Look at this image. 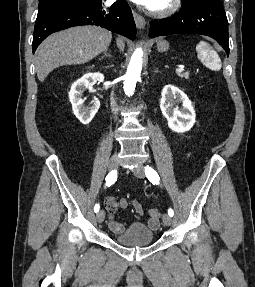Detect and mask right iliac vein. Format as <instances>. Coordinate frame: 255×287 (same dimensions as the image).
<instances>
[{"mask_svg":"<svg viewBox=\"0 0 255 287\" xmlns=\"http://www.w3.org/2000/svg\"><path fill=\"white\" fill-rule=\"evenodd\" d=\"M118 157L117 155H113L110 160H109V169L110 170H115L118 167ZM105 218V212L103 210L98 211L96 215V219L98 223H102Z\"/></svg>","mask_w":255,"mask_h":287,"instance_id":"1","label":"right iliac vein"}]
</instances>
